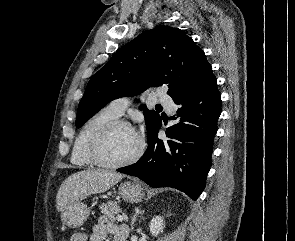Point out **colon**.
<instances>
[{"mask_svg":"<svg viewBox=\"0 0 295 241\" xmlns=\"http://www.w3.org/2000/svg\"><path fill=\"white\" fill-rule=\"evenodd\" d=\"M87 240V235L79 233L74 235L70 241H86Z\"/></svg>","mask_w":295,"mask_h":241,"instance_id":"colon-1","label":"colon"}]
</instances>
